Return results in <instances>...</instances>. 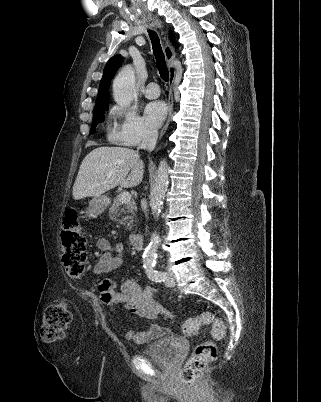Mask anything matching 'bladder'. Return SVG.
<instances>
[{
  "instance_id": "obj_1",
  "label": "bladder",
  "mask_w": 321,
  "mask_h": 402,
  "mask_svg": "<svg viewBox=\"0 0 321 402\" xmlns=\"http://www.w3.org/2000/svg\"><path fill=\"white\" fill-rule=\"evenodd\" d=\"M162 337L144 348L141 356L165 367L173 366L180 355L181 339L172 333L163 332Z\"/></svg>"
}]
</instances>
